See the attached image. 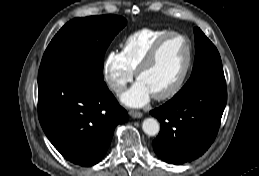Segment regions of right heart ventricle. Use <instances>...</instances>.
<instances>
[{
  "mask_svg": "<svg viewBox=\"0 0 259 176\" xmlns=\"http://www.w3.org/2000/svg\"><path fill=\"white\" fill-rule=\"evenodd\" d=\"M169 31L168 29L143 28L130 34L120 51L126 65L135 72L153 44Z\"/></svg>",
  "mask_w": 259,
  "mask_h": 176,
  "instance_id": "obj_1",
  "label": "right heart ventricle"
}]
</instances>
